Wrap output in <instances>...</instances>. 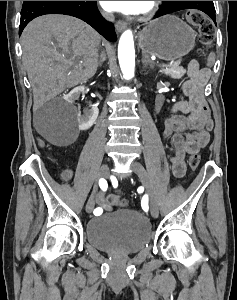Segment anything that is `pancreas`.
<instances>
[{
	"mask_svg": "<svg viewBox=\"0 0 237 300\" xmlns=\"http://www.w3.org/2000/svg\"><path fill=\"white\" fill-rule=\"evenodd\" d=\"M162 67H167V65H162ZM161 73H164V75H169V77H172V79H180V77H183L185 75L186 71L183 69V67L177 66V68L168 67V69H162Z\"/></svg>",
	"mask_w": 237,
	"mask_h": 300,
	"instance_id": "1",
	"label": "pancreas"
}]
</instances>
